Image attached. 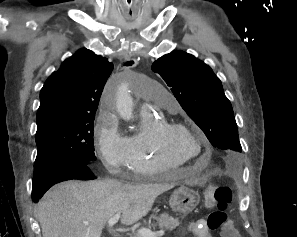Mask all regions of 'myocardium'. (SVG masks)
<instances>
[{"mask_svg":"<svg viewBox=\"0 0 297 237\" xmlns=\"http://www.w3.org/2000/svg\"><path fill=\"white\" fill-rule=\"evenodd\" d=\"M174 131H184L196 140V142L199 145V152L196 156H182L180 153L173 150L169 146L167 142V136L168 134ZM153 143L160 155H162L165 158H170L179 161L183 164L193 161L195 158L199 157L204 152V145L200 136L190 126L180 122L164 121L161 124H159L153 132Z\"/></svg>","mask_w":297,"mask_h":237,"instance_id":"obj_1","label":"myocardium"}]
</instances>
